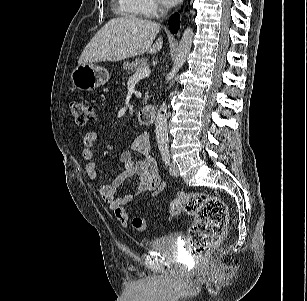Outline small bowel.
I'll use <instances>...</instances> for the list:
<instances>
[{
	"label": "small bowel",
	"mask_w": 307,
	"mask_h": 301,
	"mask_svg": "<svg viewBox=\"0 0 307 301\" xmlns=\"http://www.w3.org/2000/svg\"><path fill=\"white\" fill-rule=\"evenodd\" d=\"M100 133L89 131L83 138L82 157L87 164L85 171L88 178L98 187L99 193L105 203L114 212L122 227H126L129 222L127 206L133 203L143 194L156 197L161 194L166 184L161 181L158 174L157 164L152 155L149 136L147 133H140L132 143L131 150L121 154L120 161L123 171L114 177L109 183L103 184L99 177L96 165L92 162L94 158V146ZM133 152L141 155V159L135 160ZM136 177L135 188L124 197H117L116 192L119 187L129 178Z\"/></svg>",
	"instance_id": "1"
}]
</instances>
